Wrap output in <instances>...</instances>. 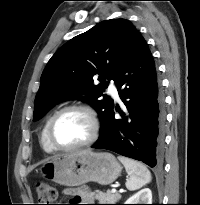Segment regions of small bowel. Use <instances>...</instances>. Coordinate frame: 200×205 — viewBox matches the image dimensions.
Segmentation results:
<instances>
[{"mask_svg": "<svg viewBox=\"0 0 200 205\" xmlns=\"http://www.w3.org/2000/svg\"><path fill=\"white\" fill-rule=\"evenodd\" d=\"M65 194L73 196L76 201H80L84 197L83 192L76 189H66Z\"/></svg>", "mask_w": 200, "mask_h": 205, "instance_id": "c3829d8e", "label": "small bowel"}]
</instances>
